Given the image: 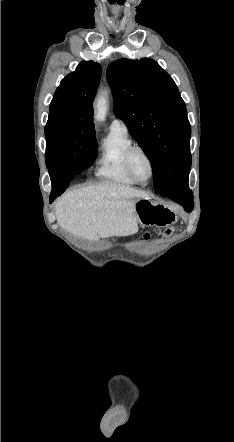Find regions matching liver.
I'll return each mask as SVG.
<instances>
[{"label":"liver","mask_w":234,"mask_h":442,"mask_svg":"<svg viewBox=\"0 0 234 442\" xmlns=\"http://www.w3.org/2000/svg\"><path fill=\"white\" fill-rule=\"evenodd\" d=\"M145 192L129 186L103 183L67 192L55 205L58 224L74 235L96 240L130 236L138 231L134 205Z\"/></svg>","instance_id":"6515ba94"}]
</instances>
